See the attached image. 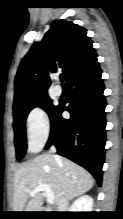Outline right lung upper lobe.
Instances as JSON below:
<instances>
[{
	"label": "right lung upper lobe",
	"mask_w": 123,
	"mask_h": 219,
	"mask_svg": "<svg viewBox=\"0 0 123 219\" xmlns=\"http://www.w3.org/2000/svg\"><path fill=\"white\" fill-rule=\"evenodd\" d=\"M85 28L56 20L25 55L15 77L13 107L47 94L49 74L62 70L67 81L97 57Z\"/></svg>",
	"instance_id": "right-lung-upper-lobe-1"
}]
</instances>
